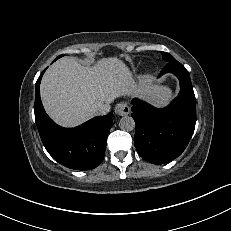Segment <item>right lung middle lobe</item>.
<instances>
[{"instance_id": "right-lung-middle-lobe-1", "label": "right lung middle lobe", "mask_w": 231, "mask_h": 231, "mask_svg": "<svg viewBox=\"0 0 231 231\" xmlns=\"http://www.w3.org/2000/svg\"><path fill=\"white\" fill-rule=\"evenodd\" d=\"M61 56H58L56 59L60 58Z\"/></svg>"}]
</instances>
